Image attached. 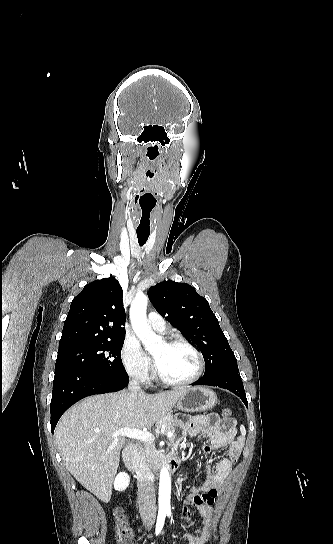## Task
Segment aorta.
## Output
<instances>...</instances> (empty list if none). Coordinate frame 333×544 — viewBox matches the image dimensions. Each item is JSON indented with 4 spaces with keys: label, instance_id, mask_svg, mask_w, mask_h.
I'll return each mask as SVG.
<instances>
[{
    "label": "aorta",
    "instance_id": "obj_1",
    "mask_svg": "<svg viewBox=\"0 0 333 544\" xmlns=\"http://www.w3.org/2000/svg\"><path fill=\"white\" fill-rule=\"evenodd\" d=\"M148 297L144 293H137L130 307L132 327L145 348L149 351L157 349L162 344L160 336L156 335L148 326L146 310ZM171 478L166 466L160 471L159 507L170 509Z\"/></svg>",
    "mask_w": 333,
    "mask_h": 544
}]
</instances>
